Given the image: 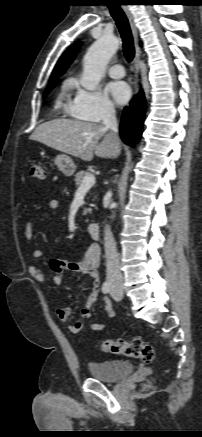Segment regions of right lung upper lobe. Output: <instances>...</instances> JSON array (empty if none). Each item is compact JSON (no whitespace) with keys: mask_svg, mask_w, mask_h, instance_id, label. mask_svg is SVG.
Segmentation results:
<instances>
[{"mask_svg":"<svg viewBox=\"0 0 202 437\" xmlns=\"http://www.w3.org/2000/svg\"><path fill=\"white\" fill-rule=\"evenodd\" d=\"M81 45L82 42H77L63 53V55L60 57L53 70V73L50 78V82L56 81L58 77H60L65 73L66 69L77 55Z\"/></svg>","mask_w":202,"mask_h":437,"instance_id":"right-lung-upper-lobe-1","label":"right lung upper lobe"}]
</instances>
